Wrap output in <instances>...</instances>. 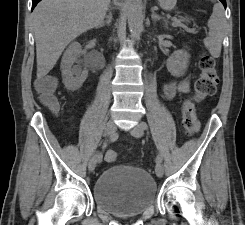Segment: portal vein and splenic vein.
Instances as JSON below:
<instances>
[{
  "label": "portal vein and splenic vein",
  "mask_w": 245,
  "mask_h": 225,
  "mask_svg": "<svg viewBox=\"0 0 245 225\" xmlns=\"http://www.w3.org/2000/svg\"><path fill=\"white\" fill-rule=\"evenodd\" d=\"M180 20L177 19V17H172V26H174L177 22H179Z\"/></svg>",
  "instance_id": "18ae733b"
}]
</instances>
